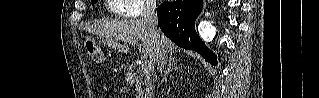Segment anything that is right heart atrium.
Segmentation results:
<instances>
[{"label":"right heart atrium","mask_w":319,"mask_h":98,"mask_svg":"<svg viewBox=\"0 0 319 98\" xmlns=\"http://www.w3.org/2000/svg\"><path fill=\"white\" fill-rule=\"evenodd\" d=\"M126 1V7L121 12L124 17H140L146 14H149L154 11L152 5L149 1H133V0H124Z\"/></svg>","instance_id":"obj_1"}]
</instances>
